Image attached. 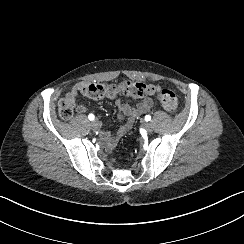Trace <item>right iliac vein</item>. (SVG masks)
Segmentation results:
<instances>
[{
	"instance_id": "63e3f726",
	"label": "right iliac vein",
	"mask_w": 244,
	"mask_h": 244,
	"mask_svg": "<svg viewBox=\"0 0 244 244\" xmlns=\"http://www.w3.org/2000/svg\"><path fill=\"white\" fill-rule=\"evenodd\" d=\"M99 126H100L99 121H97V120H92V122H91V127H92L94 130H97V129L99 128Z\"/></svg>"
}]
</instances>
